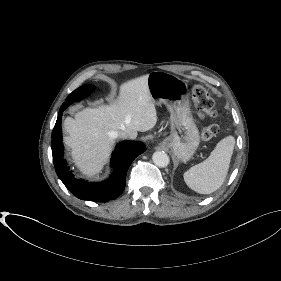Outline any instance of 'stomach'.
Listing matches in <instances>:
<instances>
[{
	"instance_id": "obj_1",
	"label": "stomach",
	"mask_w": 281,
	"mask_h": 281,
	"mask_svg": "<svg viewBox=\"0 0 281 281\" xmlns=\"http://www.w3.org/2000/svg\"><path fill=\"white\" fill-rule=\"evenodd\" d=\"M148 88L153 103L165 104L170 112L171 133L161 144L182 162L190 160L200 135L190 112L185 81L164 71H153L148 75Z\"/></svg>"
}]
</instances>
